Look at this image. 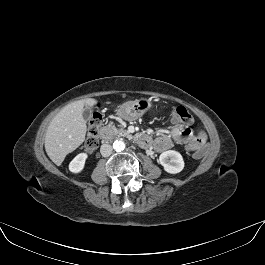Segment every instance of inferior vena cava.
<instances>
[{
	"mask_svg": "<svg viewBox=\"0 0 265 265\" xmlns=\"http://www.w3.org/2000/svg\"><path fill=\"white\" fill-rule=\"evenodd\" d=\"M113 148L110 144L105 143L100 147V153L103 157H108L112 154Z\"/></svg>",
	"mask_w": 265,
	"mask_h": 265,
	"instance_id": "obj_1",
	"label": "inferior vena cava"
}]
</instances>
